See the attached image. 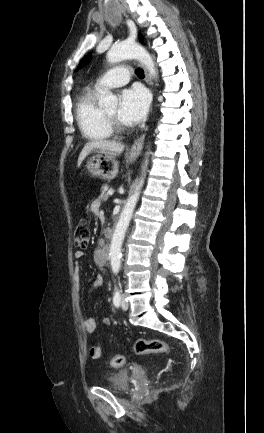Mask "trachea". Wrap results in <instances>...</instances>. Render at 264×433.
I'll return each mask as SVG.
<instances>
[{"label": "trachea", "instance_id": "1", "mask_svg": "<svg viewBox=\"0 0 264 433\" xmlns=\"http://www.w3.org/2000/svg\"><path fill=\"white\" fill-rule=\"evenodd\" d=\"M136 74H137L138 77H140V78H144V73H143V71H142L141 69L138 68V69L136 70Z\"/></svg>", "mask_w": 264, "mask_h": 433}]
</instances>
